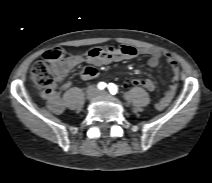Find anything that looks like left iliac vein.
Returning <instances> with one entry per match:
<instances>
[{"mask_svg":"<svg viewBox=\"0 0 212 183\" xmlns=\"http://www.w3.org/2000/svg\"><path fill=\"white\" fill-rule=\"evenodd\" d=\"M100 94H102V95H106V92H105V91H102Z\"/></svg>","mask_w":212,"mask_h":183,"instance_id":"4c4485c4","label":"left iliac vein"}]
</instances>
